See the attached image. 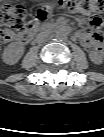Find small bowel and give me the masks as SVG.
<instances>
[{
  "instance_id": "1",
  "label": "small bowel",
  "mask_w": 104,
  "mask_h": 137,
  "mask_svg": "<svg viewBox=\"0 0 104 137\" xmlns=\"http://www.w3.org/2000/svg\"><path fill=\"white\" fill-rule=\"evenodd\" d=\"M61 21H64L63 19H61ZM27 31H24L23 33H21L20 35H14V34H10L6 37V41H20L22 43H26L30 38L27 35ZM76 38L77 40L86 48L89 49H93L96 50V47H100V43L98 41H96L90 32L86 31V30H79L76 33Z\"/></svg>"
}]
</instances>
